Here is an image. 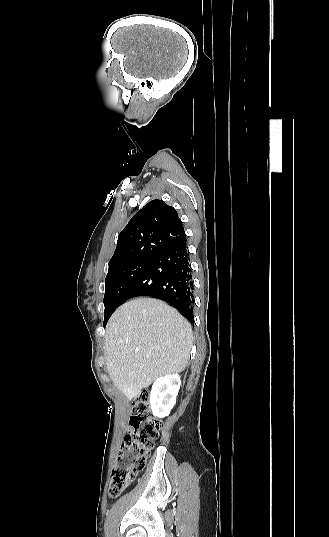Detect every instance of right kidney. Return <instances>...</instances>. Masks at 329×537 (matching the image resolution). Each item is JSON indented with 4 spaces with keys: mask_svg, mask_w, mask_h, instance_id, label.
Instances as JSON below:
<instances>
[{
    "mask_svg": "<svg viewBox=\"0 0 329 537\" xmlns=\"http://www.w3.org/2000/svg\"><path fill=\"white\" fill-rule=\"evenodd\" d=\"M181 380L178 373H172L156 379L150 393V408L157 418H164L170 414L176 403Z\"/></svg>",
    "mask_w": 329,
    "mask_h": 537,
    "instance_id": "right-kidney-1",
    "label": "right kidney"
}]
</instances>
